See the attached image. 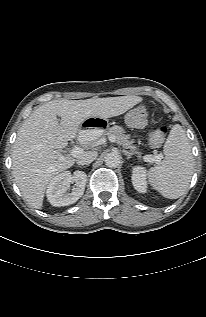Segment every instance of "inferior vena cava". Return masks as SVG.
I'll return each mask as SVG.
<instances>
[{"label": "inferior vena cava", "mask_w": 206, "mask_h": 317, "mask_svg": "<svg viewBox=\"0 0 206 317\" xmlns=\"http://www.w3.org/2000/svg\"><path fill=\"white\" fill-rule=\"evenodd\" d=\"M97 152L95 151H89V152H85V153H82L80 154L78 157H77V164L78 165H88L90 164L91 162H93L96 158H97Z\"/></svg>", "instance_id": "602c4592"}]
</instances>
